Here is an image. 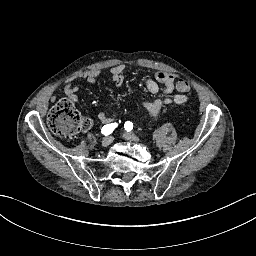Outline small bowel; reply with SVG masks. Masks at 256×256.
<instances>
[{"label": "small bowel", "instance_id": "c3829d8e", "mask_svg": "<svg viewBox=\"0 0 256 256\" xmlns=\"http://www.w3.org/2000/svg\"><path fill=\"white\" fill-rule=\"evenodd\" d=\"M102 71L100 69H94L88 71L79 77L67 82L64 86V94L68 101L76 103L78 101L77 91L78 87L75 85V80H84L87 83L93 84L97 81ZM110 74L114 83L121 87L125 79V66L117 65L110 70ZM181 81H176V76L167 71H158L155 73L154 78H149L146 81V87L152 94L162 93V97L155 99L151 102H146L141 105V109L146 112L152 119H157L160 115L162 107L164 105H181L187 102L188 97L184 94L187 92L181 88ZM162 85V88L160 87ZM174 91L180 92L179 94L172 95ZM56 98L52 97V101ZM97 119L101 123H110L112 119L105 113L100 112L97 114Z\"/></svg>", "mask_w": 256, "mask_h": 256}]
</instances>
